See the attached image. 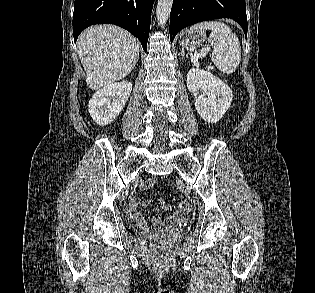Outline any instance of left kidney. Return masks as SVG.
I'll return each mask as SVG.
<instances>
[{
	"label": "left kidney",
	"instance_id": "5707ae66",
	"mask_svg": "<svg viewBox=\"0 0 315 293\" xmlns=\"http://www.w3.org/2000/svg\"><path fill=\"white\" fill-rule=\"evenodd\" d=\"M187 88L195 93L202 89L204 94L195 101V108L208 123L218 122L229 109L233 94L231 89L212 73L201 69H190L187 74Z\"/></svg>",
	"mask_w": 315,
	"mask_h": 293
}]
</instances>
